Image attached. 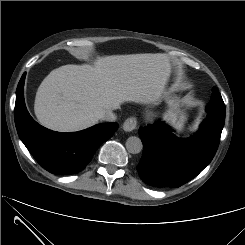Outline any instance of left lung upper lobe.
<instances>
[{
  "mask_svg": "<svg viewBox=\"0 0 245 245\" xmlns=\"http://www.w3.org/2000/svg\"><path fill=\"white\" fill-rule=\"evenodd\" d=\"M206 111L225 118V105L216 87L213 88L212 97L209 104L206 106Z\"/></svg>",
  "mask_w": 245,
  "mask_h": 245,
  "instance_id": "1",
  "label": "left lung upper lobe"
}]
</instances>
